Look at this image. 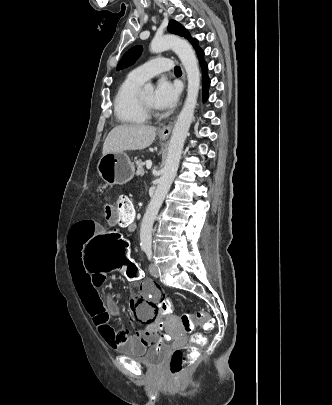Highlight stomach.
<instances>
[{
	"label": "stomach",
	"mask_w": 332,
	"mask_h": 405,
	"mask_svg": "<svg viewBox=\"0 0 332 405\" xmlns=\"http://www.w3.org/2000/svg\"><path fill=\"white\" fill-rule=\"evenodd\" d=\"M165 140L164 136H160ZM97 171L108 184H123L131 180L135 173L134 163L124 152L108 153L97 164Z\"/></svg>",
	"instance_id": "obj_1"
}]
</instances>
